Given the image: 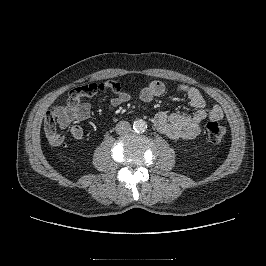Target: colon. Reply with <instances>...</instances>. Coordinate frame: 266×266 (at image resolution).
<instances>
[{
	"label": "colon",
	"mask_w": 266,
	"mask_h": 266,
	"mask_svg": "<svg viewBox=\"0 0 266 266\" xmlns=\"http://www.w3.org/2000/svg\"><path fill=\"white\" fill-rule=\"evenodd\" d=\"M120 90V85L114 81L106 80L98 83H89L72 90L69 97L74 98L76 96L85 98L91 97L99 93L113 91L117 92ZM48 128L52 127L54 118L51 112L46 116ZM207 139L211 144H219L223 141L226 129L223 125L216 121H211L206 126Z\"/></svg>",
	"instance_id": "colon-1"
}]
</instances>
